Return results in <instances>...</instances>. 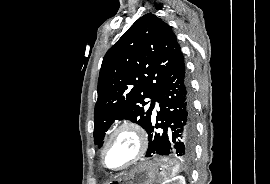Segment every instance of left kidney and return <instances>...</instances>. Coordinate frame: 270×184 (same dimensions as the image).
I'll return each instance as SVG.
<instances>
[{"instance_id": "5707ae66", "label": "left kidney", "mask_w": 270, "mask_h": 184, "mask_svg": "<svg viewBox=\"0 0 270 184\" xmlns=\"http://www.w3.org/2000/svg\"><path fill=\"white\" fill-rule=\"evenodd\" d=\"M166 183L167 184H186L185 178L183 176L174 177L173 179L166 181L164 184Z\"/></svg>"}]
</instances>
